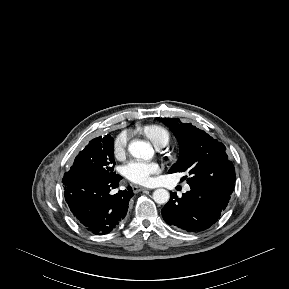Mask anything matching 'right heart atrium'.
Masks as SVG:
<instances>
[{"instance_id":"obj_1","label":"right heart atrium","mask_w":289,"mask_h":289,"mask_svg":"<svg viewBox=\"0 0 289 289\" xmlns=\"http://www.w3.org/2000/svg\"><path fill=\"white\" fill-rule=\"evenodd\" d=\"M128 133L121 132L114 140L113 148L114 153L117 157H122L125 154L127 145H128Z\"/></svg>"}]
</instances>
